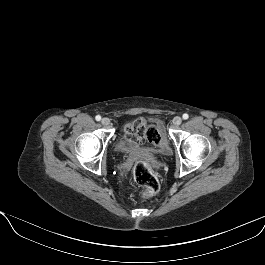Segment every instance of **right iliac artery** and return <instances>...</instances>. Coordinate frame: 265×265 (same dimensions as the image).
I'll use <instances>...</instances> for the list:
<instances>
[{"label":"right iliac artery","instance_id":"1","mask_svg":"<svg viewBox=\"0 0 265 265\" xmlns=\"http://www.w3.org/2000/svg\"><path fill=\"white\" fill-rule=\"evenodd\" d=\"M95 119H96L97 121H100V120H101V116H100V115H97V116L95 117Z\"/></svg>","mask_w":265,"mask_h":265}]
</instances>
